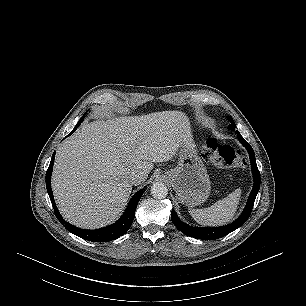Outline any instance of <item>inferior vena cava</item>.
I'll return each mask as SVG.
<instances>
[{
  "instance_id": "1",
  "label": "inferior vena cava",
  "mask_w": 306,
  "mask_h": 306,
  "mask_svg": "<svg viewBox=\"0 0 306 306\" xmlns=\"http://www.w3.org/2000/svg\"><path fill=\"white\" fill-rule=\"evenodd\" d=\"M145 179H146V177H145L144 173L140 172V171H134L129 176V180H130L131 184H133V185H139L142 182H144Z\"/></svg>"
}]
</instances>
